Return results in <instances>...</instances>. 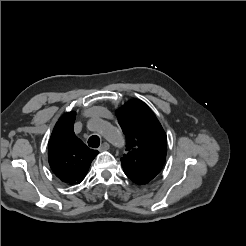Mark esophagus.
<instances>
[{"mask_svg":"<svg viewBox=\"0 0 246 246\" xmlns=\"http://www.w3.org/2000/svg\"><path fill=\"white\" fill-rule=\"evenodd\" d=\"M109 148H110V145H109L107 142H104V143L101 144L99 150H100V151H106V150H108Z\"/></svg>","mask_w":246,"mask_h":246,"instance_id":"1","label":"esophagus"}]
</instances>
